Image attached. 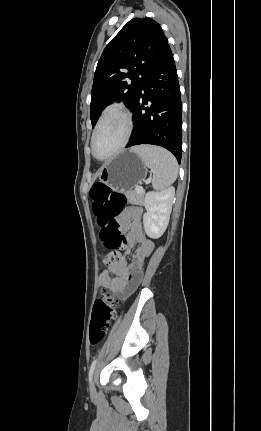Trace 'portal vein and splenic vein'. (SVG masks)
<instances>
[{"label":"portal vein and splenic vein","instance_id":"18ae733b","mask_svg":"<svg viewBox=\"0 0 261 431\" xmlns=\"http://www.w3.org/2000/svg\"><path fill=\"white\" fill-rule=\"evenodd\" d=\"M150 181H151V179H147L146 183L148 184V183H150ZM142 191H143V187L142 186L137 187V192H142Z\"/></svg>","mask_w":261,"mask_h":431}]
</instances>
